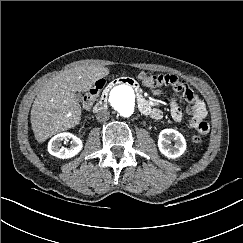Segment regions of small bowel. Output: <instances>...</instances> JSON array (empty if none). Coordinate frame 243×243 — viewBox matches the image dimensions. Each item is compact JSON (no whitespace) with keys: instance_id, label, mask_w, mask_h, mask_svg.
Instances as JSON below:
<instances>
[{"instance_id":"c3829d8e","label":"small bowel","mask_w":243,"mask_h":243,"mask_svg":"<svg viewBox=\"0 0 243 243\" xmlns=\"http://www.w3.org/2000/svg\"><path fill=\"white\" fill-rule=\"evenodd\" d=\"M164 76L167 78L166 85L170 86L175 92L181 93L187 102L186 112L190 116V126L196 129L200 134L207 135L210 131V126L206 121L207 109L205 103L185 81L179 80L177 76L172 74ZM155 92L161 94L163 91L162 89H158ZM170 114L174 121L182 122L183 112L176 99H172L170 102ZM150 116L154 119H159L162 117V111L154 108Z\"/></svg>"}]
</instances>
